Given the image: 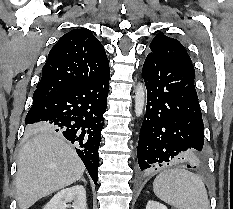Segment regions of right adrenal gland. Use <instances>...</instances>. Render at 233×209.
Instances as JSON below:
<instances>
[{"mask_svg":"<svg viewBox=\"0 0 233 209\" xmlns=\"http://www.w3.org/2000/svg\"><path fill=\"white\" fill-rule=\"evenodd\" d=\"M80 181H83L85 184H87V181L85 180L84 177H81V178H80Z\"/></svg>","mask_w":233,"mask_h":209,"instance_id":"1","label":"right adrenal gland"}]
</instances>
